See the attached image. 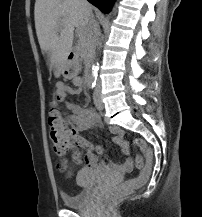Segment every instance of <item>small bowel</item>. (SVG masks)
I'll return each mask as SVG.
<instances>
[{
    "mask_svg": "<svg viewBox=\"0 0 202 217\" xmlns=\"http://www.w3.org/2000/svg\"><path fill=\"white\" fill-rule=\"evenodd\" d=\"M73 84L80 86L82 80L79 76L73 78ZM57 98L64 104L69 111L66 116L67 129L71 139L85 150L84 154L77 157L85 164V168L95 169L99 172L111 173L116 176H124L133 172L135 168L134 160L129 157V144L124 139V133L117 127H111L110 132L113 134V142L119 145L122 152V159L114 163L104 160L101 156L104 154V147L101 144L93 145L91 142L83 138L80 133L98 123L99 116L91 107H82L74 102L65 101L68 95L76 94L78 90L73 89L62 81L55 85ZM141 159L140 157H137Z\"/></svg>",
    "mask_w": 202,
    "mask_h": 217,
    "instance_id": "1",
    "label": "small bowel"
}]
</instances>
